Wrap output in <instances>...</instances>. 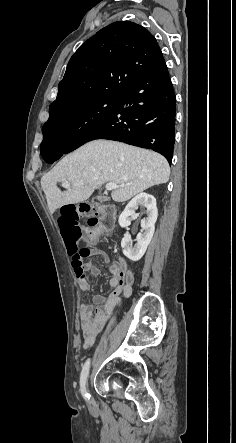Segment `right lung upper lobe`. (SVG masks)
Returning a JSON list of instances; mask_svg holds the SVG:
<instances>
[{"instance_id": "right-lung-upper-lobe-1", "label": "right lung upper lobe", "mask_w": 236, "mask_h": 443, "mask_svg": "<svg viewBox=\"0 0 236 443\" xmlns=\"http://www.w3.org/2000/svg\"><path fill=\"white\" fill-rule=\"evenodd\" d=\"M162 57L155 37L129 21L114 22L84 42L71 57L50 117L99 95L120 96Z\"/></svg>"}]
</instances>
